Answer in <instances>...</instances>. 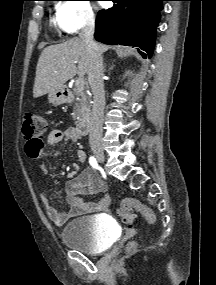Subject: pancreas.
<instances>
[{
  "instance_id": "cf45deb5",
  "label": "pancreas",
  "mask_w": 216,
  "mask_h": 285,
  "mask_svg": "<svg viewBox=\"0 0 216 285\" xmlns=\"http://www.w3.org/2000/svg\"><path fill=\"white\" fill-rule=\"evenodd\" d=\"M73 95L76 97L74 107V118H85L90 112L89 97L85 86H76L73 89Z\"/></svg>"
}]
</instances>
